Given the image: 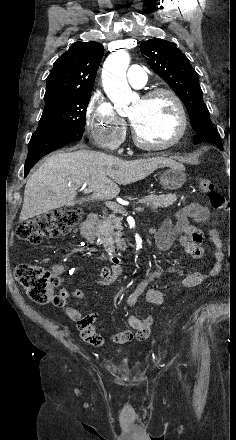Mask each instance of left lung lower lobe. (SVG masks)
Returning a JSON list of instances; mask_svg holds the SVG:
<instances>
[{
    "instance_id": "1",
    "label": "left lung lower lobe",
    "mask_w": 236,
    "mask_h": 440,
    "mask_svg": "<svg viewBox=\"0 0 236 440\" xmlns=\"http://www.w3.org/2000/svg\"><path fill=\"white\" fill-rule=\"evenodd\" d=\"M201 142L212 143V144L216 145L220 150H222L221 138H220L219 134L217 133V131L215 130V128L213 127V125L208 126V127L197 132V134L193 140V143L198 144Z\"/></svg>"
}]
</instances>
